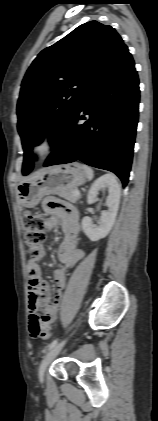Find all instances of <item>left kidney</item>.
<instances>
[{"mask_svg":"<svg viewBox=\"0 0 158 421\" xmlns=\"http://www.w3.org/2000/svg\"><path fill=\"white\" fill-rule=\"evenodd\" d=\"M105 188L108 189V197L106 199L108 210L101 213L99 226H94L91 218L88 216L82 219V229L91 241H98L106 237L113 227L117 216L121 188L117 179L111 174L101 176L95 181L89 190L87 202L88 204L96 202L99 191Z\"/></svg>","mask_w":158,"mask_h":421,"instance_id":"left-kidney-1","label":"left kidney"}]
</instances>
